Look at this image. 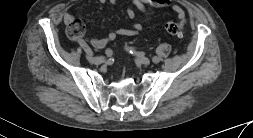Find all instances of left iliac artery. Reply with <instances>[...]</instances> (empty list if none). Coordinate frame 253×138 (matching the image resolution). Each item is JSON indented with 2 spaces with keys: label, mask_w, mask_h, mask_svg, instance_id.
I'll use <instances>...</instances> for the list:
<instances>
[{
  "label": "left iliac artery",
  "mask_w": 253,
  "mask_h": 138,
  "mask_svg": "<svg viewBox=\"0 0 253 138\" xmlns=\"http://www.w3.org/2000/svg\"><path fill=\"white\" fill-rule=\"evenodd\" d=\"M152 61H153L154 63H159V58H158L157 56H154V57L152 58Z\"/></svg>",
  "instance_id": "left-iliac-artery-1"
}]
</instances>
